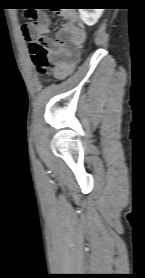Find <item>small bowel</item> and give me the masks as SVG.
Instances as JSON below:
<instances>
[{"label":"small bowel","mask_w":145,"mask_h":278,"mask_svg":"<svg viewBox=\"0 0 145 278\" xmlns=\"http://www.w3.org/2000/svg\"><path fill=\"white\" fill-rule=\"evenodd\" d=\"M64 22L55 36L50 34V21L47 15H36L33 22L21 26L24 36L37 38L47 49L51 68L50 73L64 77L80 58V46L86 34L75 13L64 14Z\"/></svg>","instance_id":"1"}]
</instances>
